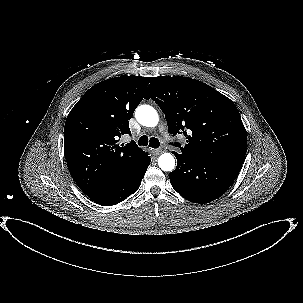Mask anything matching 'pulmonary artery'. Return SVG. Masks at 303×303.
<instances>
[{"instance_id": "e3ab8cb5", "label": "pulmonary artery", "mask_w": 303, "mask_h": 303, "mask_svg": "<svg viewBox=\"0 0 303 303\" xmlns=\"http://www.w3.org/2000/svg\"><path fill=\"white\" fill-rule=\"evenodd\" d=\"M164 134H165V136L168 138V132L166 131V130H164Z\"/></svg>"}]
</instances>
